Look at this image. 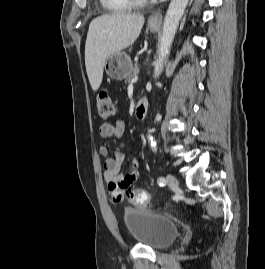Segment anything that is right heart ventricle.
<instances>
[{"mask_svg":"<svg viewBox=\"0 0 265 269\" xmlns=\"http://www.w3.org/2000/svg\"><path fill=\"white\" fill-rule=\"evenodd\" d=\"M104 9L108 12H126L131 9L132 5L128 0H100Z\"/></svg>","mask_w":265,"mask_h":269,"instance_id":"obj_1","label":"right heart ventricle"}]
</instances>
